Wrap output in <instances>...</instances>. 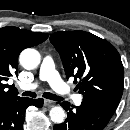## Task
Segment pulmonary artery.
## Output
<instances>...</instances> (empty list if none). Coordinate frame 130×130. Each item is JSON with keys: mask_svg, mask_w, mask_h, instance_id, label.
I'll return each instance as SVG.
<instances>
[{"mask_svg": "<svg viewBox=\"0 0 130 130\" xmlns=\"http://www.w3.org/2000/svg\"><path fill=\"white\" fill-rule=\"evenodd\" d=\"M39 78L47 81L55 92L63 97H68L73 100L76 105H80L82 97L72 92L70 87L61 79L58 72L55 70L53 58L46 55L42 61ZM37 87V83L21 84L20 88L23 90H32Z\"/></svg>", "mask_w": 130, "mask_h": 130, "instance_id": "e3ab8cb5", "label": "pulmonary artery"}]
</instances>
